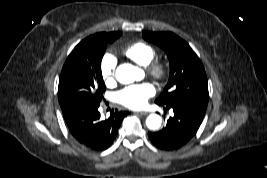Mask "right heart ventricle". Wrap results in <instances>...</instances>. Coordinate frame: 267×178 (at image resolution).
<instances>
[{"mask_svg": "<svg viewBox=\"0 0 267 178\" xmlns=\"http://www.w3.org/2000/svg\"><path fill=\"white\" fill-rule=\"evenodd\" d=\"M124 54L138 65L146 66L155 57V50L143 41H136L125 49Z\"/></svg>", "mask_w": 267, "mask_h": 178, "instance_id": "1", "label": "right heart ventricle"}]
</instances>
